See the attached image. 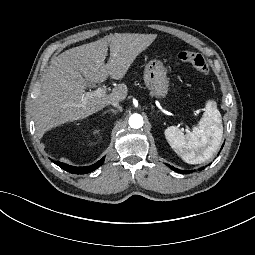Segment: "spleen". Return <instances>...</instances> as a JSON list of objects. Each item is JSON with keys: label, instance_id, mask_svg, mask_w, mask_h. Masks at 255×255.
I'll use <instances>...</instances> for the list:
<instances>
[{"label": "spleen", "instance_id": "1", "mask_svg": "<svg viewBox=\"0 0 255 255\" xmlns=\"http://www.w3.org/2000/svg\"><path fill=\"white\" fill-rule=\"evenodd\" d=\"M202 126V130L195 127L193 132L186 136L175 126L165 130L169 145L186 163L200 164L210 159L219 148L223 126L216 102L206 103Z\"/></svg>", "mask_w": 255, "mask_h": 255}]
</instances>
